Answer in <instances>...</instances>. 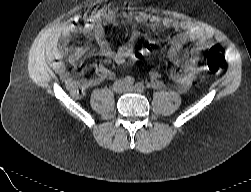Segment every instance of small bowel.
<instances>
[{
    "mask_svg": "<svg viewBox=\"0 0 251 192\" xmlns=\"http://www.w3.org/2000/svg\"><path fill=\"white\" fill-rule=\"evenodd\" d=\"M121 17L136 22H149L154 26L172 27L184 31L182 35H179L172 42L168 56L173 63L184 64L183 69L173 75V79L181 94L189 92L200 71V63L203 59L204 48L210 44L211 37L209 34L197 24L186 19L159 18L144 12L125 13L121 15ZM117 18L118 16L111 13H100L84 28V32L99 40V54L110 57L116 63L122 64L126 59L133 56V48L130 45H125L115 52L112 51L106 44L100 29V23L112 22ZM75 29V25L62 27L50 39L48 52L56 60L54 68L61 80L71 92L72 96L79 99L85 95L89 88L98 86L108 79H112L114 77V72L103 65H99L96 69V73L92 77L78 79L66 68L64 61L71 65H75L90 54V50L87 48L75 49L65 58L59 54L57 48L58 42L69 36ZM160 77L161 75L158 71L153 70L150 72V79L153 87L162 88L164 86Z\"/></svg>",
    "mask_w": 251,
    "mask_h": 192,
    "instance_id": "small-bowel-1",
    "label": "small bowel"
}]
</instances>
